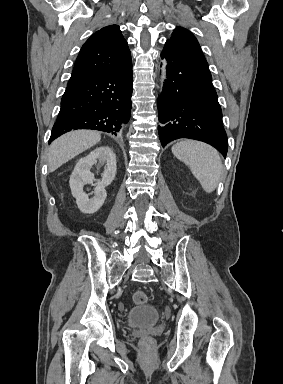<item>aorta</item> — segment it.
Here are the masks:
<instances>
[{
    "mask_svg": "<svg viewBox=\"0 0 283 384\" xmlns=\"http://www.w3.org/2000/svg\"><path fill=\"white\" fill-rule=\"evenodd\" d=\"M161 80L164 81L166 79V62H164V65L161 68Z\"/></svg>",
    "mask_w": 283,
    "mask_h": 384,
    "instance_id": "obj_1",
    "label": "aorta"
}]
</instances>
